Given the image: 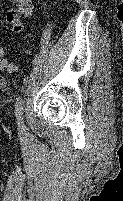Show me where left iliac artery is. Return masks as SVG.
Here are the masks:
<instances>
[{
	"mask_svg": "<svg viewBox=\"0 0 123 201\" xmlns=\"http://www.w3.org/2000/svg\"><path fill=\"white\" fill-rule=\"evenodd\" d=\"M15 115L17 118L18 125L23 128V99L19 96L15 103Z\"/></svg>",
	"mask_w": 123,
	"mask_h": 201,
	"instance_id": "1",
	"label": "left iliac artery"
}]
</instances>
